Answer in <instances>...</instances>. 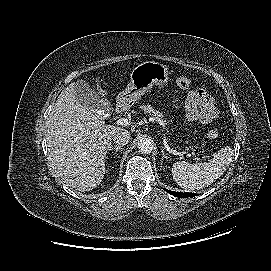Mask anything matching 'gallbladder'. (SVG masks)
Instances as JSON below:
<instances>
[{
	"mask_svg": "<svg viewBox=\"0 0 271 271\" xmlns=\"http://www.w3.org/2000/svg\"><path fill=\"white\" fill-rule=\"evenodd\" d=\"M75 92L78 102L90 110L100 112L108 117L112 112V105L100 92L94 90L84 80H78L75 84Z\"/></svg>",
	"mask_w": 271,
	"mask_h": 271,
	"instance_id": "1",
	"label": "gallbladder"
}]
</instances>
